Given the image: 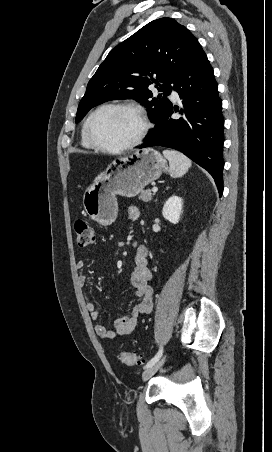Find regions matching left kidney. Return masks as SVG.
Returning a JSON list of instances; mask_svg holds the SVG:
<instances>
[{
  "label": "left kidney",
  "instance_id": "5707ae66",
  "mask_svg": "<svg viewBox=\"0 0 272 452\" xmlns=\"http://www.w3.org/2000/svg\"><path fill=\"white\" fill-rule=\"evenodd\" d=\"M183 202L178 196H171L163 206V217L173 224H177L180 221L182 214Z\"/></svg>",
  "mask_w": 272,
  "mask_h": 452
}]
</instances>
